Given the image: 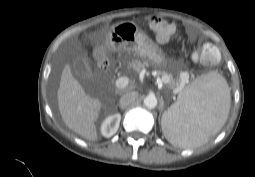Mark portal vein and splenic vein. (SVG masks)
<instances>
[{
    "instance_id": "18ae733b",
    "label": "portal vein and splenic vein",
    "mask_w": 255,
    "mask_h": 177,
    "mask_svg": "<svg viewBox=\"0 0 255 177\" xmlns=\"http://www.w3.org/2000/svg\"><path fill=\"white\" fill-rule=\"evenodd\" d=\"M129 84V78L128 77H120L116 80L115 85L117 88L122 89L125 88ZM159 85L162 86V81L159 82ZM183 87H178L175 89V92H180Z\"/></svg>"
}]
</instances>
